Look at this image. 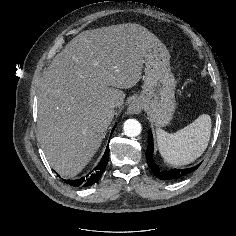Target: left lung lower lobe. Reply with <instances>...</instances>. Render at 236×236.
<instances>
[{"instance_id":"obj_1","label":"left lung lower lobe","mask_w":236,"mask_h":236,"mask_svg":"<svg viewBox=\"0 0 236 236\" xmlns=\"http://www.w3.org/2000/svg\"><path fill=\"white\" fill-rule=\"evenodd\" d=\"M146 159H147V163H148L149 167L151 168L152 172L159 179L166 180V181H174V180L180 179L183 176L196 170L200 165L199 164L194 167L187 168V169H171V170H167V171L161 170L153 160V135H152L151 130H149Z\"/></svg>"}]
</instances>
